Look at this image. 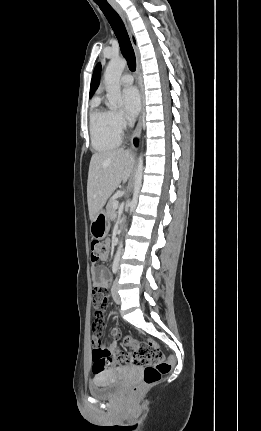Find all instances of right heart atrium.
Wrapping results in <instances>:
<instances>
[{
  "label": "right heart atrium",
  "mask_w": 261,
  "mask_h": 431,
  "mask_svg": "<svg viewBox=\"0 0 261 431\" xmlns=\"http://www.w3.org/2000/svg\"><path fill=\"white\" fill-rule=\"evenodd\" d=\"M110 118H111V123H112L113 127L120 133L127 126L126 120L124 119L122 114L118 111H114V110L110 111Z\"/></svg>",
  "instance_id": "obj_1"
}]
</instances>
